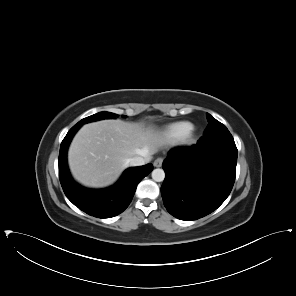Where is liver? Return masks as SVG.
<instances>
[{
    "mask_svg": "<svg viewBox=\"0 0 296 296\" xmlns=\"http://www.w3.org/2000/svg\"><path fill=\"white\" fill-rule=\"evenodd\" d=\"M165 144L163 134L152 127L122 120H102L84 125L75 135L68 162L76 180L89 187L114 183L130 166L131 158L150 161Z\"/></svg>",
    "mask_w": 296,
    "mask_h": 296,
    "instance_id": "1",
    "label": "liver"
}]
</instances>
